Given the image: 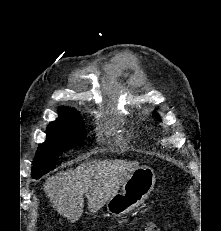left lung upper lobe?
Here are the masks:
<instances>
[{
    "label": "left lung upper lobe",
    "mask_w": 221,
    "mask_h": 231,
    "mask_svg": "<svg viewBox=\"0 0 221 231\" xmlns=\"http://www.w3.org/2000/svg\"><path fill=\"white\" fill-rule=\"evenodd\" d=\"M154 116H156V118H157L158 120H160V118H159V116L157 115V113H154Z\"/></svg>",
    "instance_id": "obj_1"
}]
</instances>
